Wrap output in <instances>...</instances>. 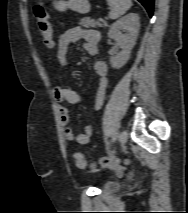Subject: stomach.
<instances>
[{
	"label": "stomach",
	"mask_w": 188,
	"mask_h": 213,
	"mask_svg": "<svg viewBox=\"0 0 188 213\" xmlns=\"http://www.w3.org/2000/svg\"><path fill=\"white\" fill-rule=\"evenodd\" d=\"M53 6L58 11L71 9L78 13H88L90 11L89 0H53Z\"/></svg>",
	"instance_id": "obj_1"
}]
</instances>
